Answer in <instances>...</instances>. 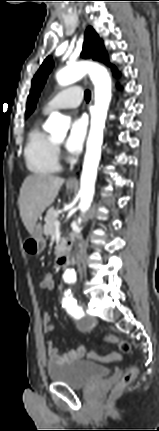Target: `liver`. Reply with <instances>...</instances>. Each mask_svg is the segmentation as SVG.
Masks as SVG:
<instances>
[{
  "instance_id": "liver-1",
  "label": "liver",
  "mask_w": 159,
  "mask_h": 431,
  "mask_svg": "<svg viewBox=\"0 0 159 431\" xmlns=\"http://www.w3.org/2000/svg\"><path fill=\"white\" fill-rule=\"evenodd\" d=\"M64 179L48 174H33L25 178L18 198L20 217L32 234L41 214L54 203Z\"/></svg>"
}]
</instances>
